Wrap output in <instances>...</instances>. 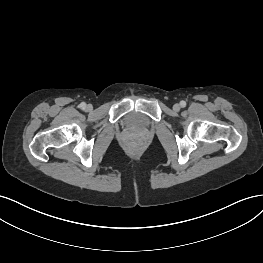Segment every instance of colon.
Instances as JSON below:
<instances>
[{"label": "colon", "instance_id": "1", "mask_svg": "<svg viewBox=\"0 0 263 263\" xmlns=\"http://www.w3.org/2000/svg\"><path fill=\"white\" fill-rule=\"evenodd\" d=\"M128 150H129V152H131V153H133V154H136V153H138L139 152V150H140V146H139V144L138 143H136V142H130L129 144H128Z\"/></svg>", "mask_w": 263, "mask_h": 263}]
</instances>
